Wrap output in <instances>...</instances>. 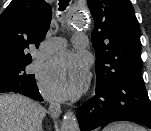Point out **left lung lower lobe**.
<instances>
[{
    "mask_svg": "<svg viewBox=\"0 0 151 131\" xmlns=\"http://www.w3.org/2000/svg\"><path fill=\"white\" fill-rule=\"evenodd\" d=\"M81 130L114 121H132L151 129V103L141 76L133 70L113 83L96 87V94L76 110Z\"/></svg>",
    "mask_w": 151,
    "mask_h": 131,
    "instance_id": "0a47b994",
    "label": "left lung lower lobe"
}]
</instances>
